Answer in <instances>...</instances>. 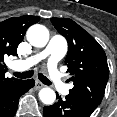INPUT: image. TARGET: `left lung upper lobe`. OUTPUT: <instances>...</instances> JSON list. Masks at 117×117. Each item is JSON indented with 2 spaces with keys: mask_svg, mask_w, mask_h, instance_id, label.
Returning <instances> with one entry per match:
<instances>
[{
  "mask_svg": "<svg viewBox=\"0 0 117 117\" xmlns=\"http://www.w3.org/2000/svg\"><path fill=\"white\" fill-rule=\"evenodd\" d=\"M51 22L68 42L65 65L74 83L69 96L94 111L104 97L109 78L106 54L100 44L73 20L51 18Z\"/></svg>",
  "mask_w": 117,
  "mask_h": 117,
  "instance_id": "obj_1",
  "label": "left lung upper lobe"
}]
</instances>
